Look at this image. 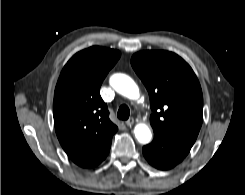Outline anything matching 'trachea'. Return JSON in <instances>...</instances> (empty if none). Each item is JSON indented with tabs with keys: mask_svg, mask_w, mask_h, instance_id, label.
<instances>
[{
	"mask_svg": "<svg viewBox=\"0 0 245 195\" xmlns=\"http://www.w3.org/2000/svg\"><path fill=\"white\" fill-rule=\"evenodd\" d=\"M130 115V110L127 105H121L118 112H117V117L121 120H127Z\"/></svg>",
	"mask_w": 245,
	"mask_h": 195,
	"instance_id": "1",
	"label": "trachea"
}]
</instances>
